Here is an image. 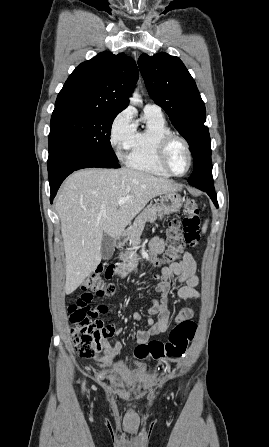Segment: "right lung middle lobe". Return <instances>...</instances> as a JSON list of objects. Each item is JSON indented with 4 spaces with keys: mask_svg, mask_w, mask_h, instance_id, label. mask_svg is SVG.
I'll list each match as a JSON object with an SVG mask.
<instances>
[{
    "mask_svg": "<svg viewBox=\"0 0 269 447\" xmlns=\"http://www.w3.org/2000/svg\"><path fill=\"white\" fill-rule=\"evenodd\" d=\"M116 116L104 112L53 114L49 140L118 161L110 143L111 126Z\"/></svg>",
    "mask_w": 269,
    "mask_h": 447,
    "instance_id": "right-lung-middle-lobe-1",
    "label": "right lung middle lobe"
}]
</instances>
